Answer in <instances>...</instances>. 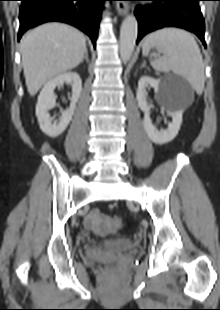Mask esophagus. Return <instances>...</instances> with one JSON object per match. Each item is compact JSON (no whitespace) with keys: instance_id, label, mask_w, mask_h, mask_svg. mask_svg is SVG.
<instances>
[{"instance_id":"esophagus-1","label":"esophagus","mask_w":220,"mask_h":310,"mask_svg":"<svg viewBox=\"0 0 220 310\" xmlns=\"http://www.w3.org/2000/svg\"><path fill=\"white\" fill-rule=\"evenodd\" d=\"M116 9L120 15L124 16L128 13L129 5L127 3H124V2L123 3H117Z\"/></svg>"}]
</instances>
